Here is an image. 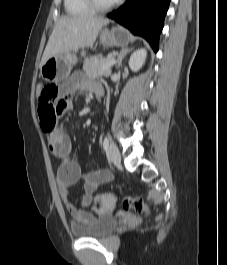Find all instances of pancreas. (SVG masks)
<instances>
[{
    "instance_id": "obj_1",
    "label": "pancreas",
    "mask_w": 227,
    "mask_h": 265,
    "mask_svg": "<svg viewBox=\"0 0 227 265\" xmlns=\"http://www.w3.org/2000/svg\"><path fill=\"white\" fill-rule=\"evenodd\" d=\"M110 61L108 58L102 56H93L85 60L83 64V71L86 75L91 77L105 76L111 74V67L102 69V67Z\"/></svg>"
}]
</instances>
